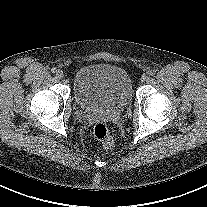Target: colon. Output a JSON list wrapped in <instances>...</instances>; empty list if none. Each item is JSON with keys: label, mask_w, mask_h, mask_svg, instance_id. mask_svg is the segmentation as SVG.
I'll return each mask as SVG.
<instances>
[{"label": "colon", "mask_w": 207, "mask_h": 207, "mask_svg": "<svg viewBox=\"0 0 207 207\" xmlns=\"http://www.w3.org/2000/svg\"><path fill=\"white\" fill-rule=\"evenodd\" d=\"M93 133L95 138L103 145L106 150L110 151L113 149V138L111 137L109 129L104 122H97L94 125Z\"/></svg>", "instance_id": "colon-1"}]
</instances>
